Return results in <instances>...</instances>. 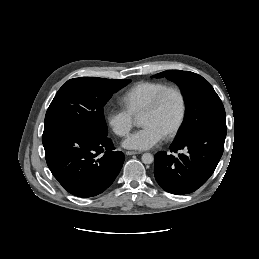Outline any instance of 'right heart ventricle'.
<instances>
[{
    "label": "right heart ventricle",
    "mask_w": 259,
    "mask_h": 259,
    "mask_svg": "<svg viewBox=\"0 0 259 259\" xmlns=\"http://www.w3.org/2000/svg\"><path fill=\"white\" fill-rule=\"evenodd\" d=\"M167 84L159 81H143L132 86L122 97L125 108L134 116L139 117L153 102L155 97Z\"/></svg>",
    "instance_id": "e07e8e85"
}]
</instances>
